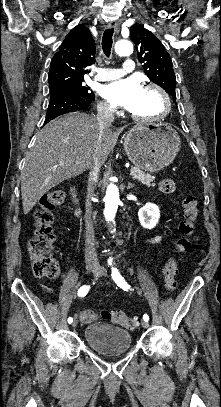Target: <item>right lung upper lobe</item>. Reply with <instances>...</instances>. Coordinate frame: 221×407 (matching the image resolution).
<instances>
[{"label":"right lung upper lobe","mask_w":221,"mask_h":407,"mask_svg":"<svg viewBox=\"0 0 221 407\" xmlns=\"http://www.w3.org/2000/svg\"><path fill=\"white\" fill-rule=\"evenodd\" d=\"M95 41L90 30L77 25L54 55L48 75L50 90L84 81L87 68L95 62Z\"/></svg>","instance_id":"right-lung-upper-lobe-1"}]
</instances>
